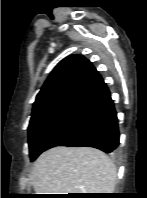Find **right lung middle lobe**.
<instances>
[{
	"label": "right lung middle lobe",
	"instance_id": "obj_1",
	"mask_svg": "<svg viewBox=\"0 0 147 198\" xmlns=\"http://www.w3.org/2000/svg\"><path fill=\"white\" fill-rule=\"evenodd\" d=\"M74 104L60 103L48 105L32 112L28 127V144L31 160L48 134L58 125Z\"/></svg>",
	"mask_w": 147,
	"mask_h": 198
}]
</instances>
